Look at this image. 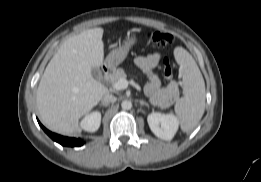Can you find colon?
<instances>
[{
    "mask_svg": "<svg viewBox=\"0 0 261 182\" xmlns=\"http://www.w3.org/2000/svg\"><path fill=\"white\" fill-rule=\"evenodd\" d=\"M148 39L156 47H167L173 43V36L167 32L152 30L148 32ZM163 76L167 83L173 79V69L168 58L163 59Z\"/></svg>",
    "mask_w": 261,
    "mask_h": 182,
    "instance_id": "1",
    "label": "colon"
}]
</instances>
